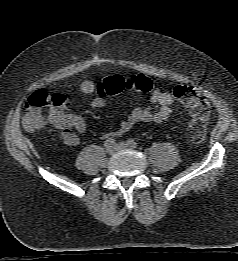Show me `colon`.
<instances>
[{
  "instance_id": "obj_1",
  "label": "colon",
  "mask_w": 238,
  "mask_h": 261,
  "mask_svg": "<svg viewBox=\"0 0 238 261\" xmlns=\"http://www.w3.org/2000/svg\"><path fill=\"white\" fill-rule=\"evenodd\" d=\"M152 86V81L143 74L127 78L114 75L102 80L97 85V91L105 96L117 95L125 91L147 93ZM173 95L190 109L191 120L187 127L188 139L194 144L202 143L205 140L206 127L211 115V105L207 96L196 87L184 84L175 86ZM67 103V98L62 94L47 90L34 92L25 103V127L29 131L40 128L46 121L45 111L47 109L63 107Z\"/></svg>"
}]
</instances>
